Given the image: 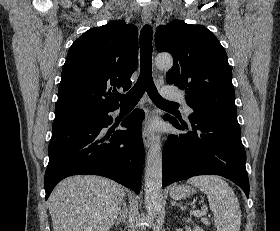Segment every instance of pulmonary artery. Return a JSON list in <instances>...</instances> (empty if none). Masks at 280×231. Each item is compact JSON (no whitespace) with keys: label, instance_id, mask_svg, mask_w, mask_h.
Instances as JSON below:
<instances>
[{"label":"pulmonary artery","instance_id":"obj_1","mask_svg":"<svg viewBox=\"0 0 280 231\" xmlns=\"http://www.w3.org/2000/svg\"><path fill=\"white\" fill-rule=\"evenodd\" d=\"M161 94L164 98L169 100H176L182 103V105H188L185 96L182 92L174 89L171 86H164L161 89ZM185 113H192V110H184Z\"/></svg>","mask_w":280,"mask_h":231}]
</instances>
